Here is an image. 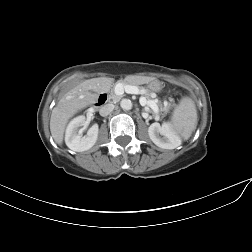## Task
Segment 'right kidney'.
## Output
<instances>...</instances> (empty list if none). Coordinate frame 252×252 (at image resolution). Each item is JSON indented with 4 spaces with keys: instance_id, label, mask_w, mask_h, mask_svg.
Returning a JSON list of instances; mask_svg holds the SVG:
<instances>
[{
    "instance_id": "ca27d5eb",
    "label": "right kidney",
    "mask_w": 252,
    "mask_h": 252,
    "mask_svg": "<svg viewBox=\"0 0 252 252\" xmlns=\"http://www.w3.org/2000/svg\"><path fill=\"white\" fill-rule=\"evenodd\" d=\"M85 116L74 118L67 126L65 133V143L69 149L75 152H83L89 150L97 141L99 127L94 124L85 136L82 135V126H85Z\"/></svg>"
}]
</instances>
